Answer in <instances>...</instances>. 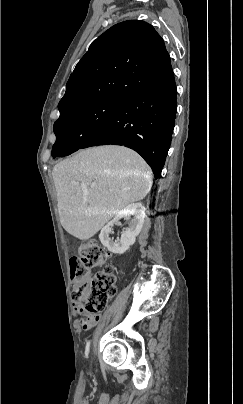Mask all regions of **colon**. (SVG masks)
<instances>
[{
	"label": "colon",
	"instance_id": "5ec220e1",
	"mask_svg": "<svg viewBox=\"0 0 243 404\" xmlns=\"http://www.w3.org/2000/svg\"><path fill=\"white\" fill-rule=\"evenodd\" d=\"M109 254L94 242H85L79 246V254L70 262L75 288L72 298L83 301L89 316L102 312L110 297L115 293L113 267L108 263ZM95 267L103 269L91 275Z\"/></svg>",
	"mask_w": 243,
	"mask_h": 404
}]
</instances>
